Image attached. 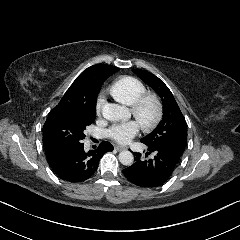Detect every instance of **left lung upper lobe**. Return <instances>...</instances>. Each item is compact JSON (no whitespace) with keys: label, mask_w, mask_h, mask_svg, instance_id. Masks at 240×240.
<instances>
[{"label":"left lung upper lobe","mask_w":240,"mask_h":240,"mask_svg":"<svg viewBox=\"0 0 240 240\" xmlns=\"http://www.w3.org/2000/svg\"><path fill=\"white\" fill-rule=\"evenodd\" d=\"M133 72L160 96L163 103V118L157 128L141 139L148 147L164 148L182 156L187 143V126L173 94L164 82L144 70Z\"/></svg>","instance_id":"obj_1"}]
</instances>
